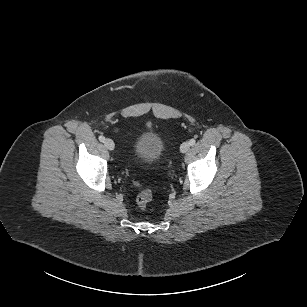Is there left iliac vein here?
Returning <instances> with one entry per match:
<instances>
[{
  "label": "left iliac vein",
  "mask_w": 307,
  "mask_h": 307,
  "mask_svg": "<svg viewBox=\"0 0 307 307\" xmlns=\"http://www.w3.org/2000/svg\"><path fill=\"white\" fill-rule=\"evenodd\" d=\"M189 148H190L189 142H183L180 146V151L182 153H186L189 150Z\"/></svg>",
  "instance_id": "left-iliac-vein-1"
}]
</instances>
